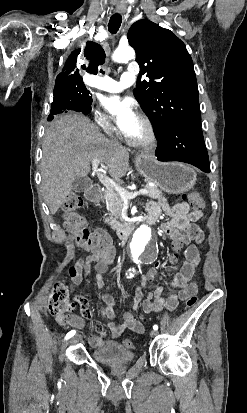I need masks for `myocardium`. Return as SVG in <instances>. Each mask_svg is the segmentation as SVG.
<instances>
[{
	"mask_svg": "<svg viewBox=\"0 0 247 413\" xmlns=\"http://www.w3.org/2000/svg\"><path fill=\"white\" fill-rule=\"evenodd\" d=\"M142 121L148 128L147 138L143 140H134L129 137H126V141L130 146L145 149V148H150L157 144L158 139H159V134H158V130L156 129L154 123L152 122L150 118L143 117Z\"/></svg>",
	"mask_w": 247,
	"mask_h": 413,
	"instance_id": "f54148a6",
	"label": "myocardium"
}]
</instances>
